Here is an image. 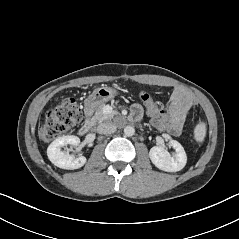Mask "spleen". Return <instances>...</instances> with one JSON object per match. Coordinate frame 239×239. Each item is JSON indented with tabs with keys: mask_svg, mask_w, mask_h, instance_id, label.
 I'll return each instance as SVG.
<instances>
[{
	"mask_svg": "<svg viewBox=\"0 0 239 239\" xmlns=\"http://www.w3.org/2000/svg\"><path fill=\"white\" fill-rule=\"evenodd\" d=\"M206 136V124L203 121H199L194 128V137L197 142L202 143Z\"/></svg>",
	"mask_w": 239,
	"mask_h": 239,
	"instance_id": "1",
	"label": "spleen"
}]
</instances>
